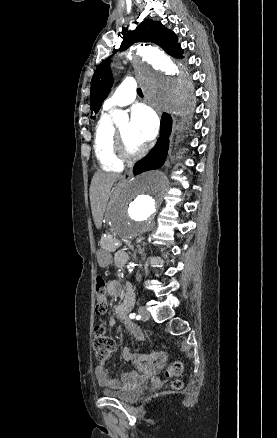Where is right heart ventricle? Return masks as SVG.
Here are the masks:
<instances>
[{"label":"right heart ventricle","mask_w":277,"mask_h":438,"mask_svg":"<svg viewBox=\"0 0 277 438\" xmlns=\"http://www.w3.org/2000/svg\"><path fill=\"white\" fill-rule=\"evenodd\" d=\"M113 124L111 114L103 113L95 131L94 148L96 157L105 171L119 173L123 170V162L118 159L112 147Z\"/></svg>","instance_id":"right-heart-ventricle-1"}]
</instances>
